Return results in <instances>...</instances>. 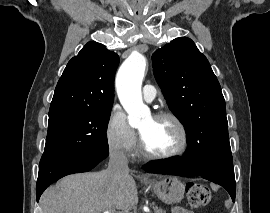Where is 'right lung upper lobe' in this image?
I'll use <instances>...</instances> for the list:
<instances>
[{"label": "right lung upper lobe", "mask_w": 270, "mask_h": 213, "mask_svg": "<svg viewBox=\"0 0 270 213\" xmlns=\"http://www.w3.org/2000/svg\"><path fill=\"white\" fill-rule=\"evenodd\" d=\"M119 57L103 44L88 42L67 64L55 88L50 110L111 109Z\"/></svg>", "instance_id": "cb5924a9"}]
</instances>
